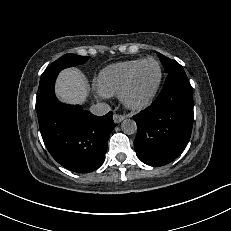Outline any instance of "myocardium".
<instances>
[{"label":"myocardium","mask_w":231,"mask_h":231,"mask_svg":"<svg viewBox=\"0 0 231 231\" xmlns=\"http://www.w3.org/2000/svg\"><path fill=\"white\" fill-rule=\"evenodd\" d=\"M147 62H153L157 65L158 70H159V76H158V80L154 86V88L152 89V91L149 93V95L143 99L142 101H133L131 99V90L133 87V83L135 80V76L138 72V70L141 68L142 65H144ZM163 80V69L161 64L154 58H146L143 59L141 62H139L131 71V73L128 76V79L124 85V87L122 88L121 92H120V99L122 101V103L129 109L131 110H143L145 108H147L148 106H150L155 97L157 96V93L160 89L161 83Z\"/></svg>","instance_id":"obj_1"}]
</instances>
